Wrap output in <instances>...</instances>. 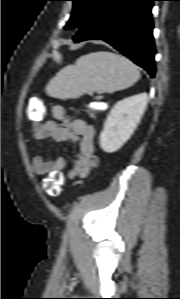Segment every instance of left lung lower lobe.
I'll return each mask as SVG.
<instances>
[{
  "label": "left lung lower lobe",
  "mask_w": 180,
  "mask_h": 299,
  "mask_svg": "<svg viewBox=\"0 0 180 299\" xmlns=\"http://www.w3.org/2000/svg\"><path fill=\"white\" fill-rule=\"evenodd\" d=\"M153 1L98 0L73 40H103L154 77Z\"/></svg>",
  "instance_id": "1"
}]
</instances>
